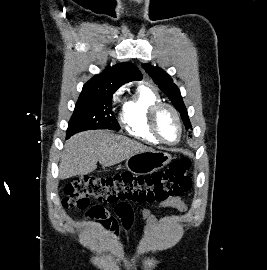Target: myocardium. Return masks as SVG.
<instances>
[{
    "label": "myocardium",
    "instance_id": "myocardium-1",
    "mask_svg": "<svg viewBox=\"0 0 267 270\" xmlns=\"http://www.w3.org/2000/svg\"><path fill=\"white\" fill-rule=\"evenodd\" d=\"M163 109L170 110L173 113V115L175 116V119L177 121L179 134H178V138L175 142H169V141L165 140L158 129V124H157L158 115ZM148 124H149V128H150L151 132L153 133V135L156 137V139L160 143L173 146V145L178 144L182 138V135H183L182 120H181V117H180L178 111L176 110V108L174 106H172L171 104H168L165 102H159V103L154 104L149 111Z\"/></svg>",
    "mask_w": 267,
    "mask_h": 270
}]
</instances>
